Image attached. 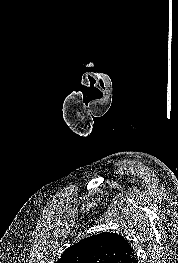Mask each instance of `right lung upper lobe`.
<instances>
[{"mask_svg": "<svg viewBox=\"0 0 178 263\" xmlns=\"http://www.w3.org/2000/svg\"><path fill=\"white\" fill-rule=\"evenodd\" d=\"M56 263H138V260L121 235L104 232L68 247Z\"/></svg>", "mask_w": 178, "mask_h": 263, "instance_id": "obj_1", "label": "right lung upper lobe"}]
</instances>
